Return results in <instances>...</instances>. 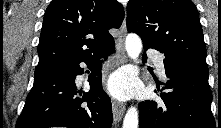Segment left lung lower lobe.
<instances>
[{
    "label": "left lung lower lobe",
    "mask_w": 221,
    "mask_h": 128,
    "mask_svg": "<svg viewBox=\"0 0 221 128\" xmlns=\"http://www.w3.org/2000/svg\"><path fill=\"white\" fill-rule=\"evenodd\" d=\"M148 47H144V50ZM143 62L146 54H143ZM168 81L161 101L139 104V128H215L208 69L165 56Z\"/></svg>",
    "instance_id": "1"
}]
</instances>
